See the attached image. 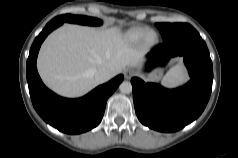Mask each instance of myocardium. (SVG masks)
I'll return each instance as SVG.
<instances>
[{"instance_id":"f54148a6","label":"myocardium","mask_w":238,"mask_h":158,"mask_svg":"<svg viewBox=\"0 0 238 158\" xmlns=\"http://www.w3.org/2000/svg\"><path fill=\"white\" fill-rule=\"evenodd\" d=\"M157 40L158 36L153 30H147L142 38L143 44L147 47L153 46Z\"/></svg>"}]
</instances>
